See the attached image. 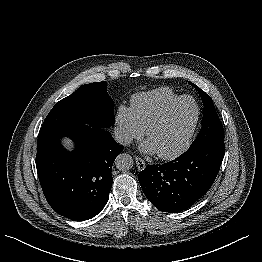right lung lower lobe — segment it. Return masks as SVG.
Listing matches in <instances>:
<instances>
[{"instance_id":"98d812e1","label":"right lung lower lobe","mask_w":262,"mask_h":262,"mask_svg":"<svg viewBox=\"0 0 262 262\" xmlns=\"http://www.w3.org/2000/svg\"><path fill=\"white\" fill-rule=\"evenodd\" d=\"M62 136L75 141V151L62 147ZM123 148L105 128L82 124L42 127L36 168L53 210L71 220L96 216L108 201L112 166Z\"/></svg>"}]
</instances>
